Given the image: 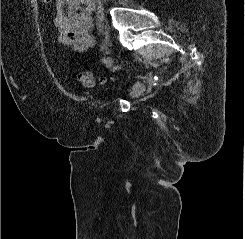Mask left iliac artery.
<instances>
[{"instance_id": "1", "label": "left iliac artery", "mask_w": 245, "mask_h": 239, "mask_svg": "<svg viewBox=\"0 0 245 239\" xmlns=\"http://www.w3.org/2000/svg\"><path fill=\"white\" fill-rule=\"evenodd\" d=\"M106 62V59L105 57L102 58V63H105Z\"/></svg>"}]
</instances>
